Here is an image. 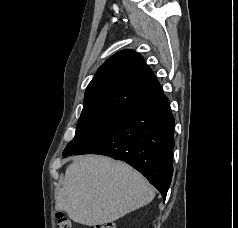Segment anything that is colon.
<instances>
[{
  "mask_svg": "<svg viewBox=\"0 0 238 228\" xmlns=\"http://www.w3.org/2000/svg\"><path fill=\"white\" fill-rule=\"evenodd\" d=\"M57 228H72V224L66 216L59 213L57 215ZM91 228H115V225L111 222H108L102 225H96Z\"/></svg>",
  "mask_w": 238,
  "mask_h": 228,
  "instance_id": "1",
  "label": "colon"
}]
</instances>
